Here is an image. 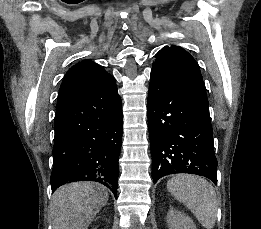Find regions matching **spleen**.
<instances>
[{
  "label": "spleen",
  "mask_w": 261,
  "mask_h": 229,
  "mask_svg": "<svg viewBox=\"0 0 261 229\" xmlns=\"http://www.w3.org/2000/svg\"><path fill=\"white\" fill-rule=\"evenodd\" d=\"M179 203H184L205 229H214L217 195L211 183L197 175H175L166 185Z\"/></svg>",
  "instance_id": "3e777b00"
}]
</instances>
